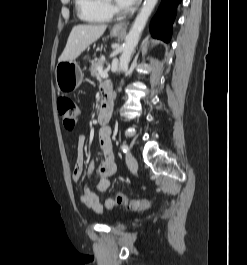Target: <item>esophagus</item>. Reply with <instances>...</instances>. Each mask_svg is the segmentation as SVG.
<instances>
[{"instance_id":"34e87169","label":"esophagus","mask_w":247,"mask_h":265,"mask_svg":"<svg viewBox=\"0 0 247 265\" xmlns=\"http://www.w3.org/2000/svg\"><path fill=\"white\" fill-rule=\"evenodd\" d=\"M113 31L116 32H126L127 30V23L126 22H120L113 26Z\"/></svg>"}]
</instances>
